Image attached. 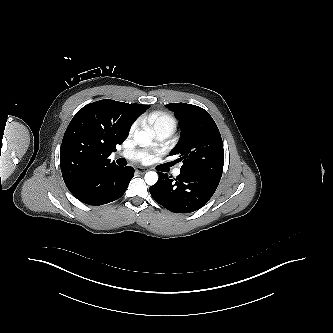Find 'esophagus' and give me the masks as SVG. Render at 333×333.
<instances>
[{"mask_svg": "<svg viewBox=\"0 0 333 333\" xmlns=\"http://www.w3.org/2000/svg\"><path fill=\"white\" fill-rule=\"evenodd\" d=\"M135 171H136L137 173H139V174H144V173L147 172V169L137 167V168L135 169Z\"/></svg>", "mask_w": 333, "mask_h": 333, "instance_id": "34e87169", "label": "esophagus"}]
</instances>
